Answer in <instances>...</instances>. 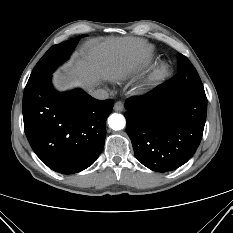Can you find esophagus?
<instances>
[{
  "label": "esophagus",
  "instance_id": "1",
  "mask_svg": "<svg viewBox=\"0 0 233 233\" xmlns=\"http://www.w3.org/2000/svg\"><path fill=\"white\" fill-rule=\"evenodd\" d=\"M114 110L116 112H122L124 110V103L122 101H117L114 105Z\"/></svg>",
  "mask_w": 233,
  "mask_h": 233
}]
</instances>
